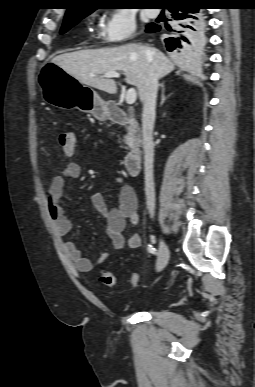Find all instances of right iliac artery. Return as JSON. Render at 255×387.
<instances>
[{
	"label": "right iliac artery",
	"mask_w": 255,
	"mask_h": 387,
	"mask_svg": "<svg viewBox=\"0 0 255 387\" xmlns=\"http://www.w3.org/2000/svg\"><path fill=\"white\" fill-rule=\"evenodd\" d=\"M148 251L152 254H156V249L152 245H148Z\"/></svg>",
	"instance_id": "1"
}]
</instances>
